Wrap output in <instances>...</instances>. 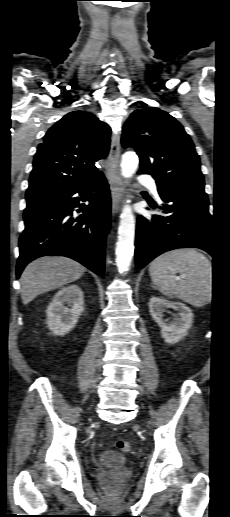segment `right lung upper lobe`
<instances>
[{"instance_id": "right-lung-upper-lobe-1", "label": "right lung upper lobe", "mask_w": 230, "mask_h": 517, "mask_svg": "<svg viewBox=\"0 0 230 517\" xmlns=\"http://www.w3.org/2000/svg\"><path fill=\"white\" fill-rule=\"evenodd\" d=\"M111 130L86 111H74L54 124L34 157L26 198L76 187L102 174L95 162L107 157Z\"/></svg>"}]
</instances>
